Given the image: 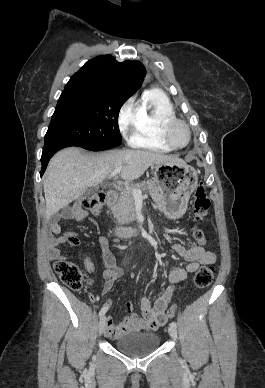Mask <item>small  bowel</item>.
<instances>
[{
  "label": "small bowel",
  "mask_w": 265,
  "mask_h": 388,
  "mask_svg": "<svg viewBox=\"0 0 265 388\" xmlns=\"http://www.w3.org/2000/svg\"><path fill=\"white\" fill-rule=\"evenodd\" d=\"M61 216L76 222H82L88 217L86 211H84L78 203L65 209ZM50 229L57 236L50 241L48 249L49 256L54 260H63V257L60 254V246L65 243L73 246L79 245L80 240L78 235L72 231H68L63 235H58L60 233L58 218H54L51 221ZM96 243L101 249L105 266L103 272L104 283L101 295H106L111 291L115 282L123 275V270L116 265V260L107 238L99 236L96 239ZM172 248L176 254L187 262L185 267H177L169 272L168 279L172 286L163 295L159 296L153 304L149 298L142 297L140 300L141 315L134 313L131 303H127L126 309L128 315L120 324L115 325L113 319L110 316H107L105 326V335L107 337L115 339L130 332L153 331L165 325L167 322L165 312L174 295L176 284L184 281L189 274L196 272L201 265L212 264L216 260L215 253L205 249L201 244L185 247L182 244L176 243ZM82 261L86 271L89 274L94 275L96 269L93 261L86 254H82ZM93 282L94 278L87 280L88 285H92ZM89 297L93 303L99 300L98 296L92 294H90ZM112 304L113 301L108 299L103 307L109 309Z\"/></svg>",
  "instance_id": "1"
}]
</instances>
